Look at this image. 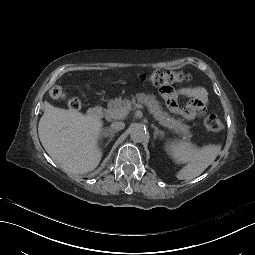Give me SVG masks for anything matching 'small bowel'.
I'll use <instances>...</instances> for the list:
<instances>
[{
	"instance_id": "c3829d8e",
	"label": "small bowel",
	"mask_w": 255,
	"mask_h": 255,
	"mask_svg": "<svg viewBox=\"0 0 255 255\" xmlns=\"http://www.w3.org/2000/svg\"><path fill=\"white\" fill-rule=\"evenodd\" d=\"M164 93H169V91H164ZM180 94L188 97L190 101L183 109L173 106V112L180 113L186 119H193L204 111L208 101V94L204 88L185 87L180 90Z\"/></svg>"
}]
</instances>
